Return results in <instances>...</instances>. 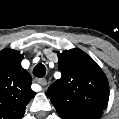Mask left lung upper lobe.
<instances>
[{"label": "left lung upper lobe", "mask_w": 119, "mask_h": 119, "mask_svg": "<svg viewBox=\"0 0 119 119\" xmlns=\"http://www.w3.org/2000/svg\"><path fill=\"white\" fill-rule=\"evenodd\" d=\"M62 77L46 92L63 119H99L109 100L107 78L96 62L80 49L58 53Z\"/></svg>", "instance_id": "1"}]
</instances>
